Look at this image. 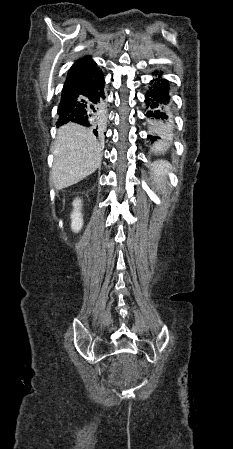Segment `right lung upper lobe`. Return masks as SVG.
I'll return each mask as SVG.
<instances>
[{
	"instance_id": "cb5924a9",
	"label": "right lung upper lobe",
	"mask_w": 233,
	"mask_h": 449,
	"mask_svg": "<svg viewBox=\"0 0 233 449\" xmlns=\"http://www.w3.org/2000/svg\"><path fill=\"white\" fill-rule=\"evenodd\" d=\"M94 65L93 60H90V57H83L76 61L72 67L70 68L66 81L73 80L84 72L88 71Z\"/></svg>"
}]
</instances>
